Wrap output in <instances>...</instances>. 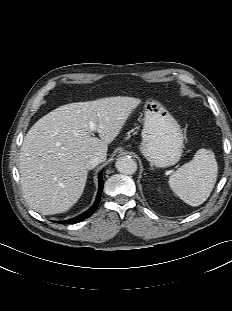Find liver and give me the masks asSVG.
<instances>
[{
  "label": "liver",
  "instance_id": "1",
  "mask_svg": "<svg viewBox=\"0 0 232 311\" xmlns=\"http://www.w3.org/2000/svg\"><path fill=\"white\" fill-rule=\"evenodd\" d=\"M140 103L121 96L70 103L39 119L24 137L19 158L28 205L42 215L68 211L84 191L86 161L95 155L106 160L108 144ZM90 122L100 138L93 136Z\"/></svg>",
  "mask_w": 232,
  "mask_h": 311
}]
</instances>
